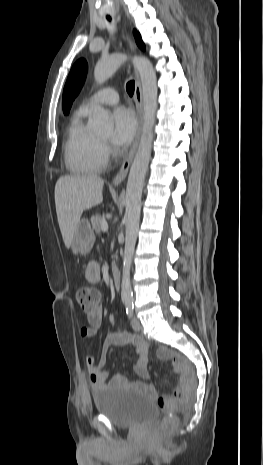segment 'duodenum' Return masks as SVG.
<instances>
[{
    "label": "duodenum",
    "mask_w": 263,
    "mask_h": 465,
    "mask_svg": "<svg viewBox=\"0 0 263 465\" xmlns=\"http://www.w3.org/2000/svg\"><path fill=\"white\" fill-rule=\"evenodd\" d=\"M112 278H113V284H114L115 288L120 289V287H121V274H120V272L118 270L113 271Z\"/></svg>",
    "instance_id": "1"
}]
</instances>
